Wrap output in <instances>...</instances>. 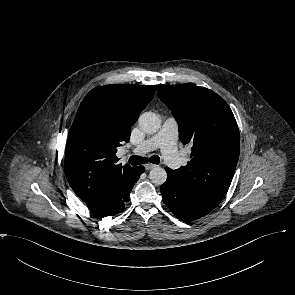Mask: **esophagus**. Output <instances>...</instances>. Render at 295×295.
Instances as JSON below:
<instances>
[{
	"instance_id": "34e87169",
	"label": "esophagus",
	"mask_w": 295,
	"mask_h": 295,
	"mask_svg": "<svg viewBox=\"0 0 295 295\" xmlns=\"http://www.w3.org/2000/svg\"><path fill=\"white\" fill-rule=\"evenodd\" d=\"M155 167H157V165H155V164H151V163L145 164V169L146 170H151V169H153Z\"/></svg>"
}]
</instances>
